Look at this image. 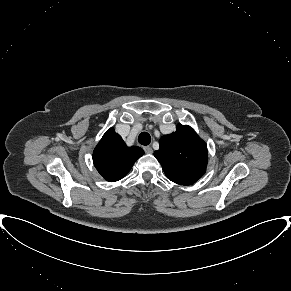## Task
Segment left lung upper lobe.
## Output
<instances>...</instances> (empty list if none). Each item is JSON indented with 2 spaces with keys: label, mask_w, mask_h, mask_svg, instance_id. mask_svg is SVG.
<instances>
[{
  "label": "left lung upper lobe",
  "mask_w": 291,
  "mask_h": 291,
  "mask_svg": "<svg viewBox=\"0 0 291 291\" xmlns=\"http://www.w3.org/2000/svg\"><path fill=\"white\" fill-rule=\"evenodd\" d=\"M154 152L166 177L181 185H191L206 171L207 145L187 125H177L176 132L160 139Z\"/></svg>",
  "instance_id": "1"
}]
</instances>
